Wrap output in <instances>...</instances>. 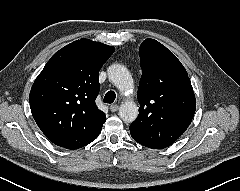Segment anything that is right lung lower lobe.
I'll list each match as a JSON object with an SVG mask.
<instances>
[{
	"label": "right lung lower lobe",
	"mask_w": 240,
	"mask_h": 191,
	"mask_svg": "<svg viewBox=\"0 0 240 191\" xmlns=\"http://www.w3.org/2000/svg\"><path fill=\"white\" fill-rule=\"evenodd\" d=\"M101 129H102V128H101ZM101 129H100V131H101ZM100 131H98V132H97L96 134H94L93 136L88 137V138L82 140L81 142H77V143H74V144L61 145V147H64V148L70 149V150H74V149L81 148V147L89 144V143L92 142L93 140H95V139L98 137Z\"/></svg>",
	"instance_id": "1"
}]
</instances>
